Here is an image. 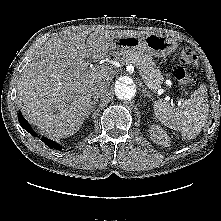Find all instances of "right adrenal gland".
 <instances>
[{
	"instance_id": "obj_1",
	"label": "right adrenal gland",
	"mask_w": 221,
	"mask_h": 221,
	"mask_svg": "<svg viewBox=\"0 0 221 221\" xmlns=\"http://www.w3.org/2000/svg\"><path fill=\"white\" fill-rule=\"evenodd\" d=\"M98 98L94 99L93 101L90 102L89 108H88V114H87V118L89 117V115L93 112L95 106L98 104Z\"/></svg>"
}]
</instances>
